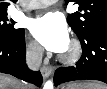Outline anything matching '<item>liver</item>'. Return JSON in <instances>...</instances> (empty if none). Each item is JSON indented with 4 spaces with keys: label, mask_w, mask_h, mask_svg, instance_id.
I'll list each match as a JSON object with an SVG mask.
<instances>
[{
    "label": "liver",
    "mask_w": 107,
    "mask_h": 89,
    "mask_svg": "<svg viewBox=\"0 0 107 89\" xmlns=\"http://www.w3.org/2000/svg\"><path fill=\"white\" fill-rule=\"evenodd\" d=\"M101 83H87L83 85H77L79 87H85V89H94L96 85ZM31 86L24 84L23 82L10 77L8 75L1 74L0 76V89H30Z\"/></svg>",
    "instance_id": "liver-1"
}]
</instances>
